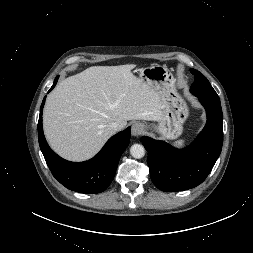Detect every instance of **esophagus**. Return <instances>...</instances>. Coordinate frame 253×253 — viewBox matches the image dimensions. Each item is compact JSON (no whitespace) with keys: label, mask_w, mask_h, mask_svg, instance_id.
<instances>
[{"label":"esophagus","mask_w":253,"mask_h":253,"mask_svg":"<svg viewBox=\"0 0 253 253\" xmlns=\"http://www.w3.org/2000/svg\"><path fill=\"white\" fill-rule=\"evenodd\" d=\"M144 132V125L136 122L132 125L131 133L133 136H140Z\"/></svg>","instance_id":"1"}]
</instances>
